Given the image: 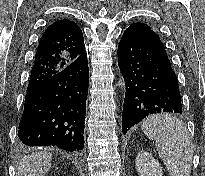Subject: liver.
<instances>
[{"label": "liver", "instance_id": "6515ba94", "mask_svg": "<svg viewBox=\"0 0 205 176\" xmlns=\"http://www.w3.org/2000/svg\"><path fill=\"white\" fill-rule=\"evenodd\" d=\"M52 154L36 152L19 162L18 176H44L51 167Z\"/></svg>", "mask_w": 205, "mask_h": 176}]
</instances>
